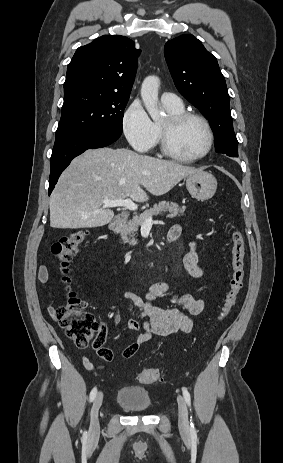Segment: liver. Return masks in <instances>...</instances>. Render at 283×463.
<instances>
[{
	"mask_svg": "<svg viewBox=\"0 0 283 463\" xmlns=\"http://www.w3.org/2000/svg\"><path fill=\"white\" fill-rule=\"evenodd\" d=\"M198 171L201 169L129 149H89L61 174L49 201L50 226L77 229L106 225L114 212L104 206V199L130 197L146 202V191L161 196Z\"/></svg>",
	"mask_w": 283,
	"mask_h": 463,
	"instance_id": "1",
	"label": "liver"
}]
</instances>
